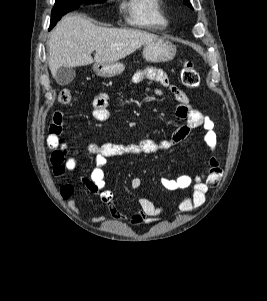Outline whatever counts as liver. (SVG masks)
Listing matches in <instances>:
<instances>
[{"instance_id":"liver-1","label":"liver","mask_w":267,"mask_h":301,"mask_svg":"<svg viewBox=\"0 0 267 301\" xmlns=\"http://www.w3.org/2000/svg\"><path fill=\"white\" fill-rule=\"evenodd\" d=\"M158 39L157 35L146 31L102 28L82 15L66 16L57 23L48 40L49 69L54 77L61 66L113 63Z\"/></svg>"}]
</instances>
